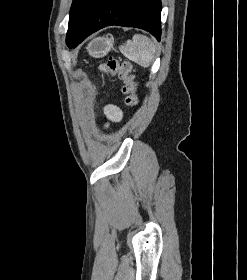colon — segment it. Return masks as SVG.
Listing matches in <instances>:
<instances>
[{"label": "colon", "mask_w": 247, "mask_h": 280, "mask_svg": "<svg viewBox=\"0 0 247 280\" xmlns=\"http://www.w3.org/2000/svg\"><path fill=\"white\" fill-rule=\"evenodd\" d=\"M101 70L109 75L118 76L124 82V92L127 94L125 103L129 107H135L138 104V96L136 93L137 85L135 75L132 72L130 62H119L116 59L110 58L101 66Z\"/></svg>", "instance_id": "colon-1"}]
</instances>
